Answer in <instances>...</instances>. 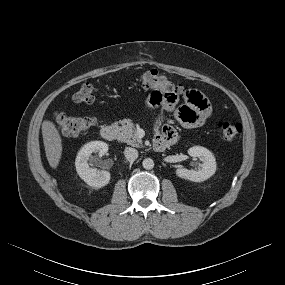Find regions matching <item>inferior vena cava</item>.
<instances>
[{
    "label": "inferior vena cava",
    "mask_w": 285,
    "mask_h": 285,
    "mask_svg": "<svg viewBox=\"0 0 285 285\" xmlns=\"http://www.w3.org/2000/svg\"><path fill=\"white\" fill-rule=\"evenodd\" d=\"M124 155L128 161L133 162L138 158V151L135 148L127 147Z\"/></svg>",
    "instance_id": "inferior-vena-cava-1"
}]
</instances>
